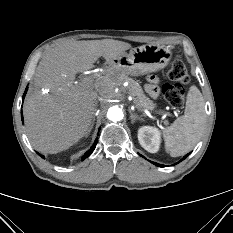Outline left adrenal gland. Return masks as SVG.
I'll return each instance as SVG.
<instances>
[{
	"instance_id": "a2214340",
	"label": "left adrenal gland",
	"mask_w": 233,
	"mask_h": 233,
	"mask_svg": "<svg viewBox=\"0 0 233 233\" xmlns=\"http://www.w3.org/2000/svg\"><path fill=\"white\" fill-rule=\"evenodd\" d=\"M129 113L132 123H135L136 120H143L141 116H138L137 114L133 113L131 110H129Z\"/></svg>"
}]
</instances>
